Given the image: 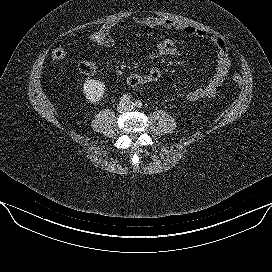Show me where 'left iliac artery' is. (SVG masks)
<instances>
[{
	"label": "left iliac artery",
	"instance_id": "44dca946",
	"mask_svg": "<svg viewBox=\"0 0 272 272\" xmlns=\"http://www.w3.org/2000/svg\"><path fill=\"white\" fill-rule=\"evenodd\" d=\"M135 106H136L137 108H141V107H142V102L139 101V100H137V101L135 102Z\"/></svg>",
	"mask_w": 272,
	"mask_h": 272
}]
</instances>
